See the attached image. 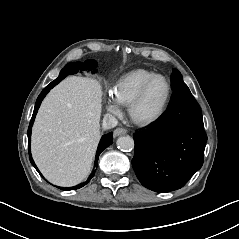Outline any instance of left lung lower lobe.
I'll return each instance as SVG.
<instances>
[{
	"mask_svg": "<svg viewBox=\"0 0 239 239\" xmlns=\"http://www.w3.org/2000/svg\"><path fill=\"white\" fill-rule=\"evenodd\" d=\"M133 136L132 166L150 190L180 189L203 165L207 135L201 109L188 87L174 90L160 120Z\"/></svg>",
	"mask_w": 239,
	"mask_h": 239,
	"instance_id": "obj_1",
	"label": "left lung lower lobe"
}]
</instances>
